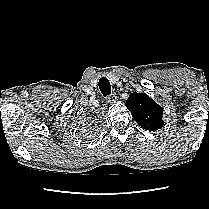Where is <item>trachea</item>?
Returning <instances> with one entry per match:
<instances>
[{"mask_svg": "<svg viewBox=\"0 0 209 209\" xmlns=\"http://www.w3.org/2000/svg\"><path fill=\"white\" fill-rule=\"evenodd\" d=\"M98 86L104 97L111 95V85L106 77H102L99 79Z\"/></svg>", "mask_w": 209, "mask_h": 209, "instance_id": "1", "label": "trachea"}]
</instances>
